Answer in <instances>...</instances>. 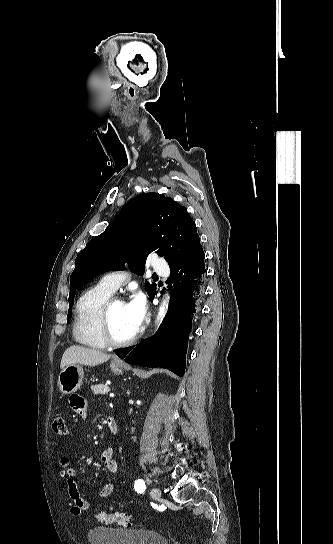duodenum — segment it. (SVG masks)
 <instances>
[{
  "label": "duodenum",
  "instance_id": "obj_1",
  "mask_svg": "<svg viewBox=\"0 0 333 544\" xmlns=\"http://www.w3.org/2000/svg\"><path fill=\"white\" fill-rule=\"evenodd\" d=\"M110 431H111L112 434L115 433V430H114V428L112 426H110Z\"/></svg>",
  "mask_w": 333,
  "mask_h": 544
}]
</instances>
